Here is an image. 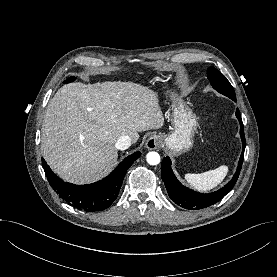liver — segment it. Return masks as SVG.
<instances>
[{"mask_svg":"<svg viewBox=\"0 0 277 277\" xmlns=\"http://www.w3.org/2000/svg\"><path fill=\"white\" fill-rule=\"evenodd\" d=\"M164 124L158 95L133 82H103L62 86L48 103L42 125L41 150L63 180L89 184L107 176L118 151L115 143L127 135Z\"/></svg>","mask_w":277,"mask_h":277,"instance_id":"6515ba94","label":"liver"}]
</instances>
